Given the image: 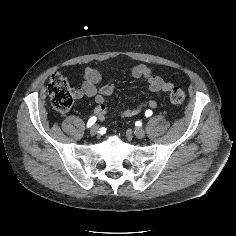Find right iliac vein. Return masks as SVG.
<instances>
[{
  "label": "right iliac vein",
  "instance_id": "63e3f726",
  "mask_svg": "<svg viewBox=\"0 0 236 236\" xmlns=\"http://www.w3.org/2000/svg\"><path fill=\"white\" fill-rule=\"evenodd\" d=\"M98 132H99V127L97 125H94L90 130V134L93 136L98 134Z\"/></svg>",
  "mask_w": 236,
  "mask_h": 236
}]
</instances>
